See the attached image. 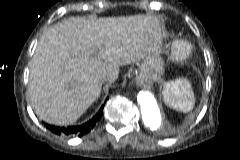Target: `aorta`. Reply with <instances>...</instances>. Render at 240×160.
<instances>
[{
    "mask_svg": "<svg viewBox=\"0 0 240 160\" xmlns=\"http://www.w3.org/2000/svg\"><path fill=\"white\" fill-rule=\"evenodd\" d=\"M144 125L155 130L161 122V112L154 96L148 91H140L137 96Z\"/></svg>",
    "mask_w": 240,
    "mask_h": 160,
    "instance_id": "1",
    "label": "aorta"
}]
</instances>
